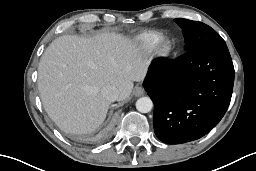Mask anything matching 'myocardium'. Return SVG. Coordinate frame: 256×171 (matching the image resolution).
Listing matches in <instances>:
<instances>
[{"mask_svg":"<svg viewBox=\"0 0 256 171\" xmlns=\"http://www.w3.org/2000/svg\"><path fill=\"white\" fill-rule=\"evenodd\" d=\"M173 49V42L169 38L162 37V39L155 46L154 51L157 57L168 58L172 54Z\"/></svg>","mask_w":256,"mask_h":171,"instance_id":"f54148a6","label":"myocardium"}]
</instances>
